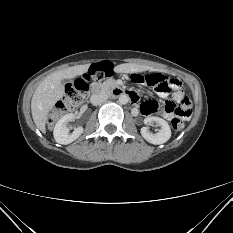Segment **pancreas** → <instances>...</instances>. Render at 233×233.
Masks as SVG:
<instances>
[{
  "label": "pancreas",
  "mask_w": 233,
  "mask_h": 233,
  "mask_svg": "<svg viewBox=\"0 0 233 233\" xmlns=\"http://www.w3.org/2000/svg\"><path fill=\"white\" fill-rule=\"evenodd\" d=\"M116 86V81L114 79H109L101 84L103 90H112Z\"/></svg>",
  "instance_id": "obj_1"
}]
</instances>
